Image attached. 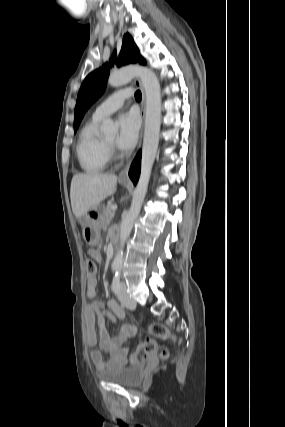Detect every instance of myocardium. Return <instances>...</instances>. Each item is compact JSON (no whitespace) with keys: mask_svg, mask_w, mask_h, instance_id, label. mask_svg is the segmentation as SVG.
<instances>
[{"mask_svg":"<svg viewBox=\"0 0 285 427\" xmlns=\"http://www.w3.org/2000/svg\"><path fill=\"white\" fill-rule=\"evenodd\" d=\"M105 146L107 148V151L109 153V156L115 153L114 144L109 143L108 141L104 140Z\"/></svg>","mask_w":285,"mask_h":427,"instance_id":"myocardium-1","label":"myocardium"}]
</instances>
